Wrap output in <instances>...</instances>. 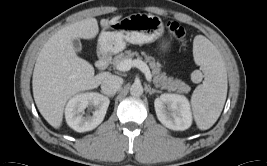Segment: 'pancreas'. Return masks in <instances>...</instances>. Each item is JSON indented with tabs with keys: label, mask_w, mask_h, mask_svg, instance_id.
I'll list each match as a JSON object with an SVG mask.
<instances>
[{
	"label": "pancreas",
	"mask_w": 267,
	"mask_h": 166,
	"mask_svg": "<svg viewBox=\"0 0 267 166\" xmlns=\"http://www.w3.org/2000/svg\"><path fill=\"white\" fill-rule=\"evenodd\" d=\"M142 55L145 58V61L149 64L152 69L153 83L157 88L166 89L169 92L177 93H188L191 88L185 82L172 77H167L166 73L161 72V64L155 61V58L148 56L145 52H142ZM134 56L137 59H142L138 52H132L131 50H126L123 53L118 54L114 57L112 64L117 68L118 64L125 59H132Z\"/></svg>",
	"instance_id": "1"
}]
</instances>
